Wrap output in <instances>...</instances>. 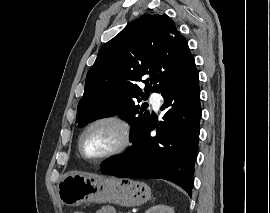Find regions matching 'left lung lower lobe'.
<instances>
[{
  "label": "left lung lower lobe",
  "instance_id": "0a47b994",
  "mask_svg": "<svg viewBox=\"0 0 270 213\" xmlns=\"http://www.w3.org/2000/svg\"><path fill=\"white\" fill-rule=\"evenodd\" d=\"M160 127L152 119L130 138L127 152L103 163L101 172L127 178L165 179L191 194L201 118L199 75L195 64L161 91ZM157 128L155 137L150 136Z\"/></svg>",
  "mask_w": 270,
  "mask_h": 213
}]
</instances>
